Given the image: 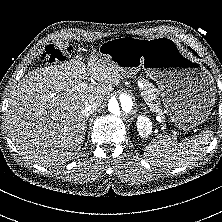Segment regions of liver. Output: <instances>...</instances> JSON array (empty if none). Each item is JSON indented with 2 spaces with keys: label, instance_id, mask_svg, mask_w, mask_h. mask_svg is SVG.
Segmentation results:
<instances>
[{
  "label": "liver",
  "instance_id": "1",
  "mask_svg": "<svg viewBox=\"0 0 222 222\" xmlns=\"http://www.w3.org/2000/svg\"><path fill=\"white\" fill-rule=\"evenodd\" d=\"M122 69L91 56L36 69L13 89L6 111L7 129L17 149L42 166L73 159L85 137V101L100 105L124 78ZM95 79L92 83L85 80Z\"/></svg>",
  "mask_w": 222,
  "mask_h": 222
}]
</instances>
